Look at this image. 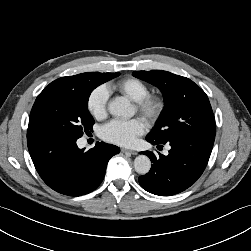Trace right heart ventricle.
Returning <instances> with one entry per match:
<instances>
[{
  "label": "right heart ventricle",
  "mask_w": 251,
  "mask_h": 251,
  "mask_svg": "<svg viewBox=\"0 0 251 251\" xmlns=\"http://www.w3.org/2000/svg\"><path fill=\"white\" fill-rule=\"evenodd\" d=\"M113 88L134 102L147 96L150 92L148 85L135 77H127L113 84Z\"/></svg>",
  "instance_id": "obj_1"
}]
</instances>
